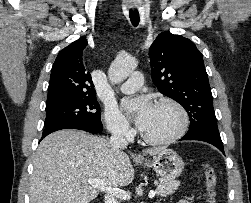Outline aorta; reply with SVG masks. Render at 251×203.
Segmentation results:
<instances>
[{"mask_svg":"<svg viewBox=\"0 0 251 203\" xmlns=\"http://www.w3.org/2000/svg\"><path fill=\"white\" fill-rule=\"evenodd\" d=\"M137 60L132 57L116 58L109 67L108 77L112 83L123 82L137 67Z\"/></svg>","mask_w":251,"mask_h":203,"instance_id":"obj_1","label":"aorta"}]
</instances>
